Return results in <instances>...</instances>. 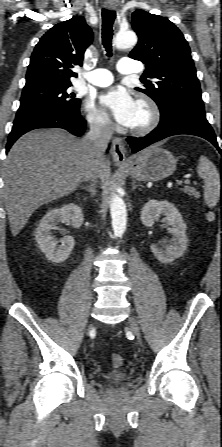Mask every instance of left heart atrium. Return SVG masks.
I'll use <instances>...</instances> for the list:
<instances>
[{
  "label": "left heart atrium",
  "mask_w": 222,
  "mask_h": 447,
  "mask_svg": "<svg viewBox=\"0 0 222 447\" xmlns=\"http://www.w3.org/2000/svg\"><path fill=\"white\" fill-rule=\"evenodd\" d=\"M100 104L110 111L120 125L125 127L132 126L137 103L126 90L110 89L100 96Z\"/></svg>",
  "instance_id": "39dd6f15"
}]
</instances>
